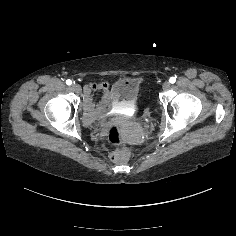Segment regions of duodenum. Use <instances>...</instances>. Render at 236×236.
Returning <instances> with one entry per match:
<instances>
[{
	"label": "duodenum",
	"instance_id": "410a0bca",
	"mask_svg": "<svg viewBox=\"0 0 236 236\" xmlns=\"http://www.w3.org/2000/svg\"><path fill=\"white\" fill-rule=\"evenodd\" d=\"M109 101V96L107 93L104 94L102 103L96 105L93 101L92 95L90 92L85 94V102H84V109H85V118L91 122L95 119L99 118L106 112L105 105Z\"/></svg>",
	"mask_w": 236,
	"mask_h": 236
}]
</instances>
